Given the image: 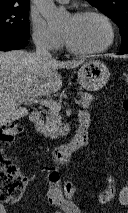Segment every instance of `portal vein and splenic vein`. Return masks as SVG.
Listing matches in <instances>:
<instances>
[{
	"label": "portal vein and splenic vein",
	"instance_id": "18ae733b",
	"mask_svg": "<svg viewBox=\"0 0 128 213\" xmlns=\"http://www.w3.org/2000/svg\"><path fill=\"white\" fill-rule=\"evenodd\" d=\"M27 101L33 102V103H39L43 106L48 107L49 109L61 110V104L57 101H53L50 99H39L38 97H31V98H28ZM74 103L79 104V101L75 100Z\"/></svg>",
	"mask_w": 128,
	"mask_h": 213
}]
</instances>
